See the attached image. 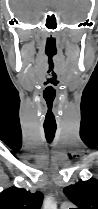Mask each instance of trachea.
Segmentation results:
<instances>
[{
  "label": "trachea",
  "instance_id": "trachea-1",
  "mask_svg": "<svg viewBox=\"0 0 98 209\" xmlns=\"http://www.w3.org/2000/svg\"><path fill=\"white\" fill-rule=\"evenodd\" d=\"M44 131H45V136L46 139L49 143H51L54 139L55 136V132H56V127H44Z\"/></svg>",
  "mask_w": 98,
  "mask_h": 209
}]
</instances>
